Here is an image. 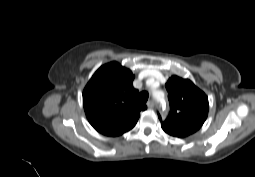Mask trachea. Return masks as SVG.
Wrapping results in <instances>:
<instances>
[{
	"label": "trachea",
	"instance_id": "obj_1",
	"mask_svg": "<svg viewBox=\"0 0 255 177\" xmlns=\"http://www.w3.org/2000/svg\"><path fill=\"white\" fill-rule=\"evenodd\" d=\"M148 98H149L148 92L142 91L141 93H139L137 100L141 103H146Z\"/></svg>",
	"mask_w": 255,
	"mask_h": 177
}]
</instances>
